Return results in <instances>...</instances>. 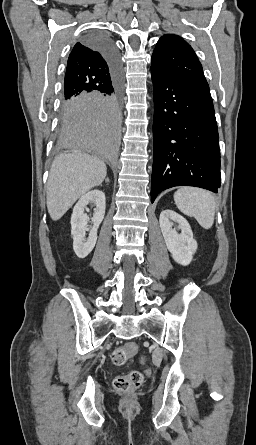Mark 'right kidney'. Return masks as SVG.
I'll list each match as a JSON object with an SVG mask.
<instances>
[{
    "instance_id": "1",
    "label": "right kidney",
    "mask_w": 256,
    "mask_h": 445,
    "mask_svg": "<svg viewBox=\"0 0 256 445\" xmlns=\"http://www.w3.org/2000/svg\"><path fill=\"white\" fill-rule=\"evenodd\" d=\"M96 205L92 217L93 226L89 232L87 240L85 231L88 230V216L84 212L87 205ZM105 194L101 190H91L82 195L73 208L71 216V235L73 236V249L79 258L87 257L93 250L97 241V230L105 215Z\"/></svg>"
}]
</instances>
